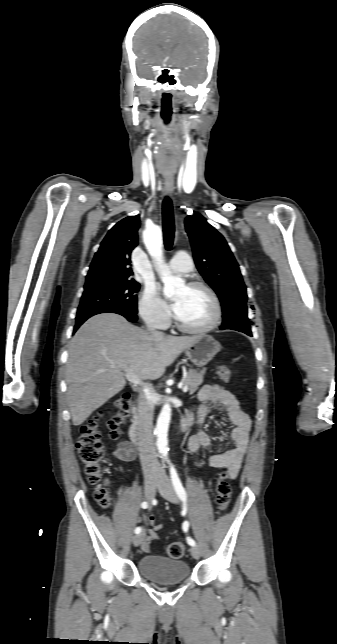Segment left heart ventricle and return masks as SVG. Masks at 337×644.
<instances>
[{"label":"left heart ventricle","instance_id":"b2bd125f","mask_svg":"<svg viewBox=\"0 0 337 644\" xmlns=\"http://www.w3.org/2000/svg\"><path fill=\"white\" fill-rule=\"evenodd\" d=\"M173 300L178 302V308L174 314L188 327H204L213 318L214 307L212 300L208 293L202 289L181 287L174 294Z\"/></svg>","mask_w":337,"mask_h":644}]
</instances>
